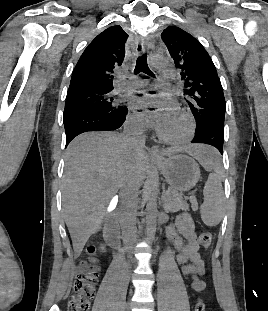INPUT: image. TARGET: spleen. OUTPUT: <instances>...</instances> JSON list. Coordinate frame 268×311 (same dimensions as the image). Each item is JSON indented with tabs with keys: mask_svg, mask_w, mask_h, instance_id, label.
I'll return each instance as SVG.
<instances>
[{
	"mask_svg": "<svg viewBox=\"0 0 268 311\" xmlns=\"http://www.w3.org/2000/svg\"><path fill=\"white\" fill-rule=\"evenodd\" d=\"M195 157L204 169L210 172L203 189L204 202L200 206L202 221L210 227L217 226L223 217L225 197L222 188L223 169L216 148L211 144H200L196 141Z\"/></svg>",
	"mask_w": 268,
	"mask_h": 311,
	"instance_id": "1",
	"label": "spleen"
}]
</instances>
